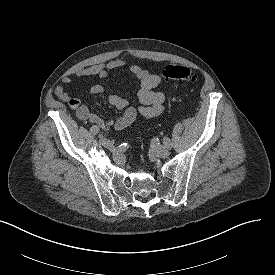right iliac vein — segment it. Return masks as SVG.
I'll list each match as a JSON object with an SVG mask.
<instances>
[{
    "instance_id": "1",
    "label": "right iliac vein",
    "mask_w": 275,
    "mask_h": 275,
    "mask_svg": "<svg viewBox=\"0 0 275 275\" xmlns=\"http://www.w3.org/2000/svg\"><path fill=\"white\" fill-rule=\"evenodd\" d=\"M101 144L109 150L114 149L113 143L111 141H109L108 139L101 138Z\"/></svg>"
}]
</instances>
